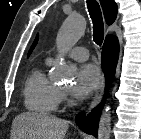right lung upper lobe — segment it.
Here are the masks:
<instances>
[{"mask_svg":"<svg viewBox=\"0 0 141 139\" xmlns=\"http://www.w3.org/2000/svg\"><path fill=\"white\" fill-rule=\"evenodd\" d=\"M100 3L104 11L107 24H112L115 21L117 16V4L115 3L114 0H100ZM36 43H37V38L35 42L33 43L28 53V56L30 55L33 48L35 47Z\"/></svg>","mask_w":141,"mask_h":139,"instance_id":"right-lung-upper-lobe-1","label":"right lung upper lobe"}]
</instances>
